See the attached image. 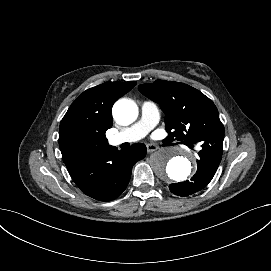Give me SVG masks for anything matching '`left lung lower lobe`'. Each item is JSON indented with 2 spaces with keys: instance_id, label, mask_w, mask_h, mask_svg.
<instances>
[{
  "instance_id": "1",
  "label": "left lung lower lobe",
  "mask_w": 271,
  "mask_h": 271,
  "mask_svg": "<svg viewBox=\"0 0 271 271\" xmlns=\"http://www.w3.org/2000/svg\"><path fill=\"white\" fill-rule=\"evenodd\" d=\"M186 144L191 143L186 142ZM198 155L200 159L197 160V172L191 180L169 185L170 191L175 195L188 196L198 192L207 186L215 175L222 158V153L210 151L202 147Z\"/></svg>"
}]
</instances>
